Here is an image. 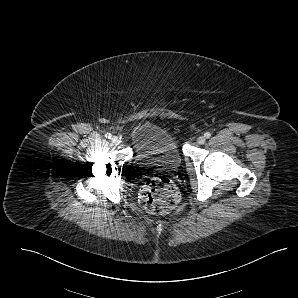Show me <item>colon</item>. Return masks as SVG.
<instances>
[{
  "label": "colon",
  "instance_id": "5ec220e1",
  "mask_svg": "<svg viewBox=\"0 0 298 298\" xmlns=\"http://www.w3.org/2000/svg\"><path fill=\"white\" fill-rule=\"evenodd\" d=\"M179 201L173 182L167 177L150 179L140 190L139 202L149 213L165 214L172 211Z\"/></svg>",
  "mask_w": 298,
  "mask_h": 298
}]
</instances>
